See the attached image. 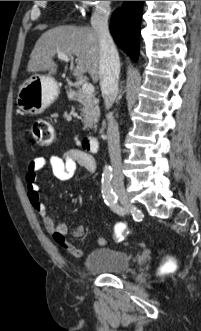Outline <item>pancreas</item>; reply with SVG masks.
<instances>
[{"label": "pancreas", "instance_id": "cf45deb5", "mask_svg": "<svg viewBox=\"0 0 201 331\" xmlns=\"http://www.w3.org/2000/svg\"><path fill=\"white\" fill-rule=\"evenodd\" d=\"M77 100L81 105L84 128H92L98 122L100 110L98 100L93 94H86L82 90L78 91Z\"/></svg>", "mask_w": 201, "mask_h": 331}]
</instances>
